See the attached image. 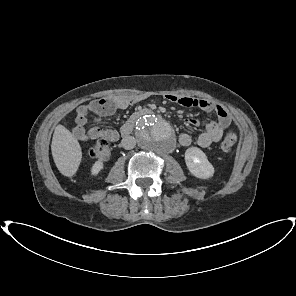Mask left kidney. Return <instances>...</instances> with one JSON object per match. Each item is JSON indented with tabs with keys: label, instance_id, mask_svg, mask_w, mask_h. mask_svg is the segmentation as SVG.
I'll return each mask as SVG.
<instances>
[{
	"label": "left kidney",
	"instance_id": "left-kidney-1",
	"mask_svg": "<svg viewBox=\"0 0 296 296\" xmlns=\"http://www.w3.org/2000/svg\"><path fill=\"white\" fill-rule=\"evenodd\" d=\"M185 163L190 173L200 179H208L214 175V167L206 154L197 147H190L185 152Z\"/></svg>",
	"mask_w": 296,
	"mask_h": 296
}]
</instances>
